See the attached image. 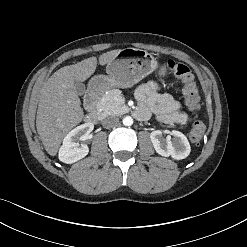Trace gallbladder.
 I'll use <instances>...</instances> for the list:
<instances>
[{
  "instance_id": "gallbladder-1",
  "label": "gallbladder",
  "mask_w": 247,
  "mask_h": 247,
  "mask_svg": "<svg viewBox=\"0 0 247 247\" xmlns=\"http://www.w3.org/2000/svg\"><path fill=\"white\" fill-rule=\"evenodd\" d=\"M75 89L78 95H83L86 91L85 85L81 82H75Z\"/></svg>"
}]
</instances>
